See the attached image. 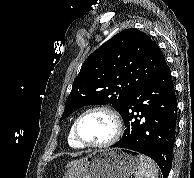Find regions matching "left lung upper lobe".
Segmentation results:
<instances>
[{"label": "left lung upper lobe", "mask_w": 194, "mask_h": 178, "mask_svg": "<svg viewBox=\"0 0 194 178\" xmlns=\"http://www.w3.org/2000/svg\"><path fill=\"white\" fill-rule=\"evenodd\" d=\"M166 64L159 46L145 33L131 28L116 34L84 61L60 121L85 105L111 103L119 112L127 97Z\"/></svg>", "instance_id": "1"}]
</instances>
